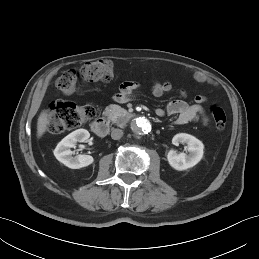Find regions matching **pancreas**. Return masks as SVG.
Here are the masks:
<instances>
[{
	"instance_id": "cf45deb5",
	"label": "pancreas",
	"mask_w": 259,
	"mask_h": 259,
	"mask_svg": "<svg viewBox=\"0 0 259 259\" xmlns=\"http://www.w3.org/2000/svg\"><path fill=\"white\" fill-rule=\"evenodd\" d=\"M103 115L113 123L124 124L130 114L118 105H110L105 109Z\"/></svg>"
}]
</instances>
